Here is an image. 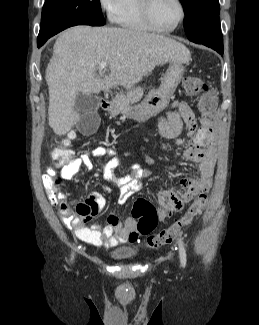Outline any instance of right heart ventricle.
I'll return each instance as SVG.
<instances>
[{"label":"right heart ventricle","instance_id":"obj_1","mask_svg":"<svg viewBox=\"0 0 259 325\" xmlns=\"http://www.w3.org/2000/svg\"><path fill=\"white\" fill-rule=\"evenodd\" d=\"M113 20L129 30L144 32L151 30L142 17L140 0H121L119 10Z\"/></svg>","mask_w":259,"mask_h":325}]
</instances>
